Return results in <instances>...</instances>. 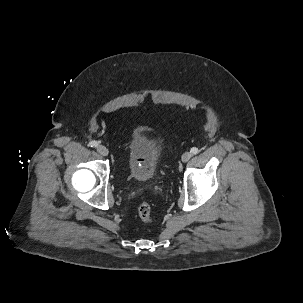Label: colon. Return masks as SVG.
I'll use <instances>...</instances> for the list:
<instances>
[{
    "instance_id": "1",
    "label": "colon",
    "mask_w": 303,
    "mask_h": 303,
    "mask_svg": "<svg viewBox=\"0 0 303 303\" xmlns=\"http://www.w3.org/2000/svg\"><path fill=\"white\" fill-rule=\"evenodd\" d=\"M137 213L142 222L146 224L153 222L151 207L147 202H143L138 206Z\"/></svg>"
}]
</instances>
